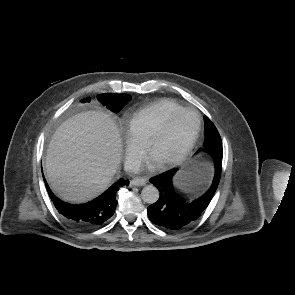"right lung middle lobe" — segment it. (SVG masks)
Returning a JSON list of instances; mask_svg holds the SVG:
<instances>
[{
    "label": "right lung middle lobe",
    "instance_id": "obj_1",
    "mask_svg": "<svg viewBox=\"0 0 295 295\" xmlns=\"http://www.w3.org/2000/svg\"><path fill=\"white\" fill-rule=\"evenodd\" d=\"M99 101H101L104 105L107 106L111 111L118 113L121 108L131 100V97L127 94H113V93H105L102 95H98ZM90 98L83 99L82 102H89Z\"/></svg>",
    "mask_w": 295,
    "mask_h": 295
}]
</instances>
